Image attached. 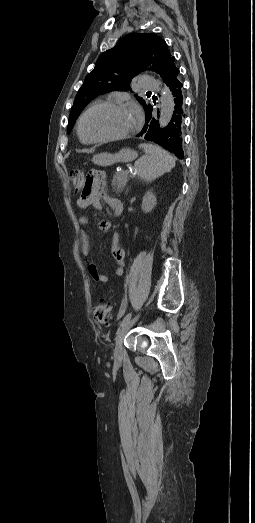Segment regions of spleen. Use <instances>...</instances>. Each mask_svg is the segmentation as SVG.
<instances>
[{
  "label": "spleen",
  "instance_id": "obj_1",
  "mask_svg": "<svg viewBox=\"0 0 255 523\" xmlns=\"http://www.w3.org/2000/svg\"><path fill=\"white\" fill-rule=\"evenodd\" d=\"M139 148H142L145 154L135 162L134 166L137 176L141 180L153 182L159 176H163V174L171 172L172 168H175V158L159 146L140 144Z\"/></svg>",
  "mask_w": 255,
  "mask_h": 523
}]
</instances>
